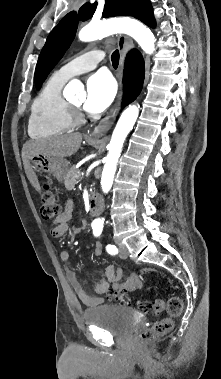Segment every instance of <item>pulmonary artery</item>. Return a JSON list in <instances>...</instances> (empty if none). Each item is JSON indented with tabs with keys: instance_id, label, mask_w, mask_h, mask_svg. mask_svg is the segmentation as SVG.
Masks as SVG:
<instances>
[{
	"instance_id": "e3ab8cb5",
	"label": "pulmonary artery",
	"mask_w": 221,
	"mask_h": 379,
	"mask_svg": "<svg viewBox=\"0 0 221 379\" xmlns=\"http://www.w3.org/2000/svg\"><path fill=\"white\" fill-rule=\"evenodd\" d=\"M103 59L104 53L102 51L92 50L78 56L62 66L56 71V74L68 80L76 75L95 69L98 63Z\"/></svg>"
}]
</instances>
